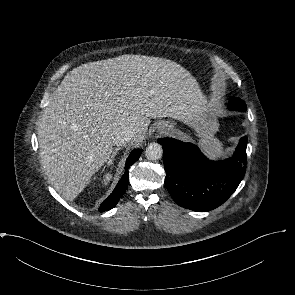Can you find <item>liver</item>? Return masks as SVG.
<instances>
[{"instance_id":"1","label":"liver","mask_w":295,"mask_h":295,"mask_svg":"<svg viewBox=\"0 0 295 295\" xmlns=\"http://www.w3.org/2000/svg\"><path fill=\"white\" fill-rule=\"evenodd\" d=\"M211 104L196 79L163 58L121 55L70 71L38 124L40 157L53 188L72 201L110 158L115 138L135 132L141 142L150 118L193 125ZM216 128L204 125V135Z\"/></svg>"}]
</instances>
